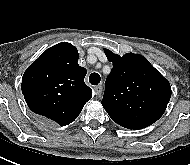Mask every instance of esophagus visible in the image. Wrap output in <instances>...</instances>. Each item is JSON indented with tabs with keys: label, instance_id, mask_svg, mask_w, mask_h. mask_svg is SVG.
<instances>
[{
	"label": "esophagus",
	"instance_id": "1",
	"mask_svg": "<svg viewBox=\"0 0 190 165\" xmlns=\"http://www.w3.org/2000/svg\"><path fill=\"white\" fill-rule=\"evenodd\" d=\"M94 93L96 96H100L102 93V85H97L94 87Z\"/></svg>",
	"mask_w": 190,
	"mask_h": 165
}]
</instances>
